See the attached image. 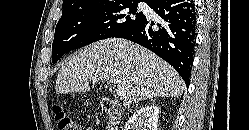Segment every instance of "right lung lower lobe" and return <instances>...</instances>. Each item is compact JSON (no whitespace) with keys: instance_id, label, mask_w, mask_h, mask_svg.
Masks as SVG:
<instances>
[{"instance_id":"98d812e1","label":"right lung lower lobe","mask_w":249,"mask_h":130,"mask_svg":"<svg viewBox=\"0 0 249 130\" xmlns=\"http://www.w3.org/2000/svg\"><path fill=\"white\" fill-rule=\"evenodd\" d=\"M147 4L161 20L144 16L119 37L136 42L166 60L189 85L196 38L193 1L151 0Z\"/></svg>"}]
</instances>
